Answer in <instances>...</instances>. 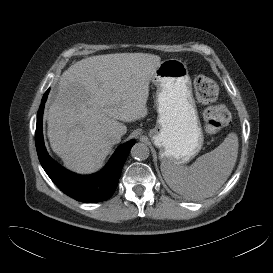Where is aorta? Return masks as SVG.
Masks as SVG:
<instances>
[{
	"label": "aorta",
	"mask_w": 273,
	"mask_h": 273,
	"mask_svg": "<svg viewBox=\"0 0 273 273\" xmlns=\"http://www.w3.org/2000/svg\"><path fill=\"white\" fill-rule=\"evenodd\" d=\"M149 148L144 143H136L131 148V156L137 160H145L149 156Z\"/></svg>",
	"instance_id": "obj_1"
}]
</instances>
